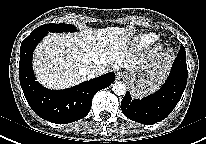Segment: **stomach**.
Listing matches in <instances>:
<instances>
[{"label":"stomach","instance_id":"1","mask_svg":"<svg viewBox=\"0 0 206 144\" xmlns=\"http://www.w3.org/2000/svg\"><path fill=\"white\" fill-rule=\"evenodd\" d=\"M172 58L170 53H164L150 63L137 65L130 70L127 80L132 94L139 97L159 87L166 77Z\"/></svg>","mask_w":206,"mask_h":144}]
</instances>
